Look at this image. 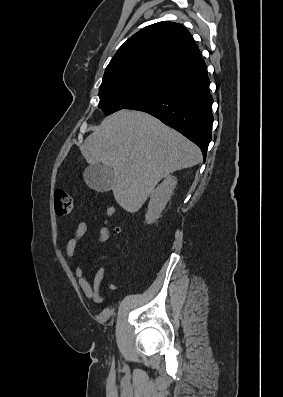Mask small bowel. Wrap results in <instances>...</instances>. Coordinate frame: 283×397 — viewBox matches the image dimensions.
<instances>
[{
  "label": "small bowel",
  "mask_w": 283,
  "mask_h": 397,
  "mask_svg": "<svg viewBox=\"0 0 283 397\" xmlns=\"http://www.w3.org/2000/svg\"><path fill=\"white\" fill-rule=\"evenodd\" d=\"M88 230V224L85 221H80L77 224L74 235L68 240L65 248V254L68 259L73 258L77 245L79 241L85 236ZM110 232L107 227H101L97 234V241L103 243L106 242L109 238ZM105 271L103 268L99 269L94 276L93 284H90L88 280L84 277V272L81 266H76L75 268V276L78 280V284L85 294V296L95 302L101 303L103 301V292L102 285L104 280Z\"/></svg>",
  "instance_id": "obj_1"
}]
</instances>
